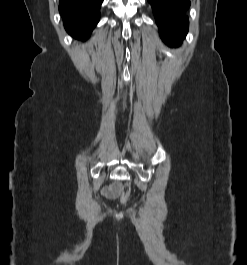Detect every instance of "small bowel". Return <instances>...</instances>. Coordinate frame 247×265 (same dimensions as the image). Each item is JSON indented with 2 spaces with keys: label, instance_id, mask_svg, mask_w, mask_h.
<instances>
[{
  "label": "small bowel",
  "instance_id": "small-bowel-1",
  "mask_svg": "<svg viewBox=\"0 0 247 265\" xmlns=\"http://www.w3.org/2000/svg\"><path fill=\"white\" fill-rule=\"evenodd\" d=\"M120 185L118 183L102 189V194L109 199H116L120 195Z\"/></svg>",
  "mask_w": 247,
  "mask_h": 265
}]
</instances>
